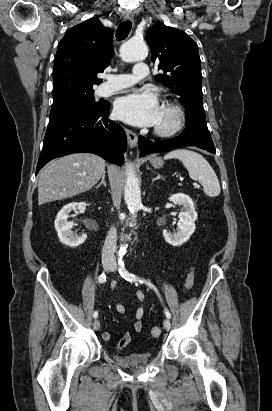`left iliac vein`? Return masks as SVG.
I'll return each instance as SVG.
<instances>
[{
	"mask_svg": "<svg viewBox=\"0 0 272 411\" xmlns=\"http://www.w3.org/2000/svg\"><path fill=\"white\" fill-rule=\"evenodd\" d=\"M117 270V265L115 263H112L111 268L109 269V271H116ZM163 326L166 330H170L171 328V323L170 320L168 318H166L163 322Z\"/></svg>",
	"mask_w": 272,
	"mask_h": 411,
	"instance_id": "1",
	"label": "left iliac vein"
}]
</instances>
